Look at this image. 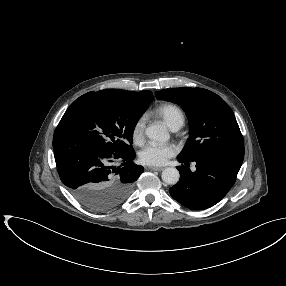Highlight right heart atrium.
Masks as SVG:
<instances>
[{
    "mask_svg": "<svg viewBox=\"0 0 286 286\" xmlns=\"http://www.w3.org/2000/svg\"><path fill=\"white\" fill-rule=\"evenodd\" d=\"M146 116H140L133 125L132 139L137 145L142 144L144 140V128H145Z\"/></svg>",
    "mask_w": 286,
    "mask_h": 286,
    "instance_id": "1",
    "label": "right heart atrium"
}]
</instances>
